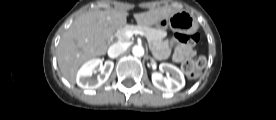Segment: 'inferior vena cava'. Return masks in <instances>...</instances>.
Here are the masks:
<instances>
[{
	"mask_svg": "<svg viewBox=\"0 0 276 120\" xmlns=\"http://www.w3.org/2000/svg\"><path fill=\"white\" fill-rule=\"evenodd\" d=\"M128 48V45L126 43L118 42L112 44L108 49V56L110 58H116L123 52H125Z\"/></svg>",
	"mask_w": 276,
	"mask_h": 120,
	"instance_id": "602c4592",
	"label": "inferior vena cava"
}]
</instances>
